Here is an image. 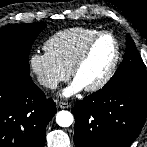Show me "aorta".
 Here are the masks:
<instances>
[{
  "label": "aorta",
  "instance_id": "obj_1",
  "mask_svg": "<svg viewBox=\"0 0 147 147\" xmlns=\"http://www.w3.org/2000/svg\"><path fill=\"white\" fill-rule=\"evenodd\" d=\"M73 121V115L69 111L62 110L56 115V122L61 127H69Z\"/></svg>",
  "mask_w": 147,
  "mask_h": 147
}]
</instances>
